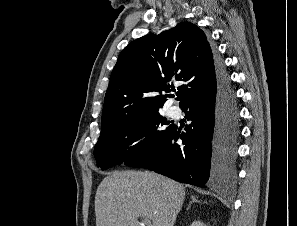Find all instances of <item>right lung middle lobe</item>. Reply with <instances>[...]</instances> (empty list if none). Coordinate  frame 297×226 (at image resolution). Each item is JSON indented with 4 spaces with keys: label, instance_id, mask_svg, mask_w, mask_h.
Returning a JSON list of instances; mask_svg holds the SVG:
<instances>
[{
    "label": "right lung middle lobe",
    "instance_id": "obj_1",
    "mask_svg": "<svg viewBox=\"0 0 297 226\" xmlns=\"http://www.w3.org/2000/svg\"><path fill=\"white\" fill-rule=\"evenodd\" d=\"M158 111L132 116L117 124L101 127L94 156L102 170L143 157L159 145L173 129Z\"/></svg>",
    "mask_w": 297,
    "mask_h": 226
}]
</instances>
